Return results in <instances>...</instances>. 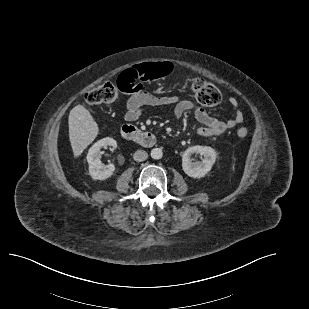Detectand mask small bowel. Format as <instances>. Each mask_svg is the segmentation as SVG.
<instances>
[{
	"label": "small bowel",
	"instance_id": "c3829d8e",
	"mask_svg": "<svg viewBox=\"0 0 309 309\" xmlns=\"http://www.w3.org/2000/svg\"><path fill=\"white\" fill-rule=\"evenodd\" d=\"M123 82L126 88L133 89L134 84H131L129 78H125ZM128 93H131V95L126 101L123 115L124 120L128 122L139 119L145 113L147 107L172 106L176 118L192 112L196 120L203 125L198 129L197 133L202 137H211L222 135L226 130L238 126L244 120L243 112L239 109V103L235 98L228 100L229 104L235 109L234 117L222 121L211 116L193 100H181L178 96H156L142 87Z\"/></svg>",
	"mask_w": 309,
	"mask_h": 309
}]
</instances>
